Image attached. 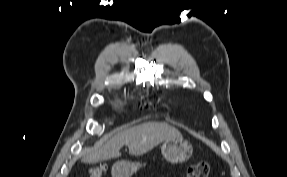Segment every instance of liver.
Masks as SVG:
<instances>
[{
    "instance_id": "1",
    "label": "liver",
    "mask_w": 287,
    "mask_h": 177,
    "mask_svg": "<svg viewBox=\"0 0 287 177\" xmlns=\"http://www.w3.org/2000/svg\"><path fill=\"white\" fill-rule=\"evenodd\" d=\"M182 138L181 133L165 122H146L115 134L105 144L95 148H85L83 162L95 163L101 160L118 158L120 149L126 145L131 155H143L161 142Z\"/></svg>"
}]
</instances>
